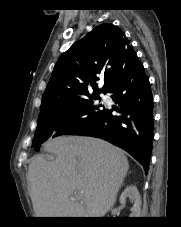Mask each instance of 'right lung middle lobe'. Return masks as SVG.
<instances>
[{"label": "right lung middle lobe", "instance_id": "right-lung-middle-lobe-1", "mask_svg": "<svg viewBox=\"0 0 181 227\" xmlns=\"http://www.w3.org/2000/svg\"><path fill=\"white\" fill-rule=\"evenodd\" d=\"M93 97L98 99L99 95H90L40 110L32 145L35 150H39V146L50 137L74 135L98 121L105 109H101L102 105H93Z\"/></svg>", "mask_w": 181, "mask_h": 227}]
</instances>
